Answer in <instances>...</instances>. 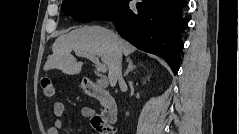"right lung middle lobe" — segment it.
<instances>
[{
  "label": "right lung middle lobe",
  "instance_id": "right-lung-middle-lobe-1",
  "mask_svg": "<svg viewBox=\"0 0 239 134\" xmlns=\"http://www.w3.org/2000/svg\"><path fill=\"white\" fill-rule=\"evenodd\" d=\"M120 0H63L62 11L79 22H90L108 12Z\"/></svg>",
  "mask_w": 239,
  "mask_h": 134
}]
</instances>
